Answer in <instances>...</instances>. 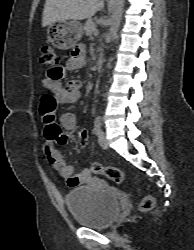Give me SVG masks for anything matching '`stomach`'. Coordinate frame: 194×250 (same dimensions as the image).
Returning <instances> with one entry per match:
<instances>
[{
	"label": "stomach",
	"mask_w": 194,
	"mask_h": 250,
	"mask_svg": "<svg viewBox=\"0 0 194 250\" xmlns=\"http://www.w3.org/2000/svg\"><path fill=\"white\" fill-rule=\"evenodd\" d=\"M51 32L50 42L58 49L74 47L83 35V26L77 21H58L48 25Z\"/></svg>",
	"instance_id": "stomach-1"
}]
</instances>
